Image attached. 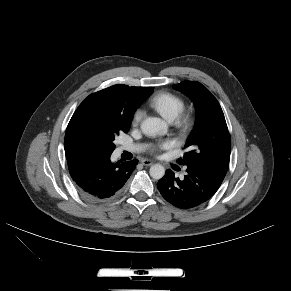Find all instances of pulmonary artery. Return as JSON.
Masks as SVG:
<instances>
[{
	"instance_id": "pulmonary-artery-1",
	"label": "pulmonary artery",
	"mask_w": 291,
	"mask_h": 291,
	"mask_svg": "<svg viewBox=\"0 0 291 291\" xmlns=\"http://www.w3.org/2000/svg\"><path fill=\"white\" fill-rule=\"evenodd\" d=\"M122 150H126V151H140L142 150L141 146H132V145H123L121 147Z\"/></svg>"
}]
</instances>
